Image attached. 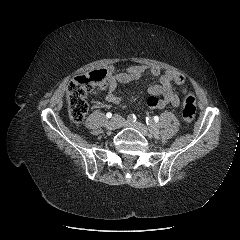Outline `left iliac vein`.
Masks as SVG:
<instances>
[{"instance_id":"obj_1","label":"left iliac vein","mask_w":240,"mask_h":240,"mask_svg":"<svg viewBox=\"0 0 240 240\" xmlns=\"http://www.w3.org/2000/svg\"><path fill=\"white\" fill-rule=\"evenodd\" d=\"M122 126L123 127H130V128L136 129L141 134H143L144 136H147V137H151L152 136V134L149 132V129L147 128V126H145L144 124H142L140 122L124 121Z\"/></svg>"}]
</instances>
